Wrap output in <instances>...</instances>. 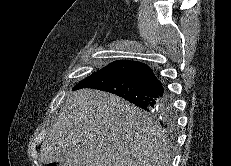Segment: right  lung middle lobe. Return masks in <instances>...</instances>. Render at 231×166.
Here are the masks:
<instances>
[{"label": "right lung middle lobe", "instance_id": "right-lung-middle-lobe-1", "mask_svg": "<svg viewBox=\"0 0 231 166\" xmlns=\"http://www.w3.org/2000/svg\"><path fill=\"white\" fill-rule=\"evenodd\" d=\"M100 70H101V69H100ZM97 71H99V70H97ZM97 71L93 72L92 74L96 73ZM92 74H90V75H92ZM90 75H89V76H90ZM87 77H88V76H87Z\"/></svg>", "mask_w": 231, "mask_h": 166}]
</instances>
